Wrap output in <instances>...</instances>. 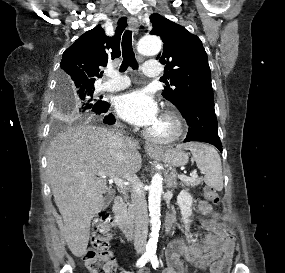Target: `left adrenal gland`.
Wrapping results in <instances>:
<instances>
[{
	"instance_id": "left-adrenal-gland-1",
	"label": "left adrenal gland",
	"mask_w": 285,
	"mask_h": 273,
	"mask_svg": "<svg viewBox=\"0 0 285 273\" xmlns=\"http://www.w3.org/2000/svg\"><path fill=\"white\" fill-rule=\"evenodd\" d=\"M176 170L173 168L171 173L169 174L168 180H167V187L168 188H176L177 183H176Z\"/></svg>"
}]
</instances>
